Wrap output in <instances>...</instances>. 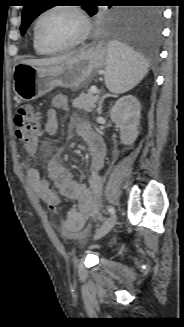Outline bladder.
I'll use <instances>...</instances> for the list:
<instances>
[{
  "label": "bladder",
  "mask_w": 184,
  "mask_h": 327,
  "mask_svg": "<svg viewBox=\"0 0 184 327\" xmlns=\"http://www.w3.org/2000/svg\"><path fill=\"white\" fill-rule=\"evenodd\" d=\"M86 240H87V234L85 233L79 234L76 238L77 242H84Z\"/></svg>",
  "instance_id": "31cf9c89"
}]
</instances>
